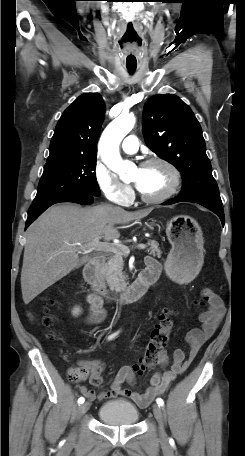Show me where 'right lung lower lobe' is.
I'll return each instance as SVG.
<instances>
[{
	"label": "right lung lower lobe",
	"mask_w": 245,
	"mask_h": 456,
	"mask_svg": "<svg viewBox=\"0 0 245 456\" xmlns=\"http://www.w3.org/2000/svg\"><path fill=\"white\" fill-rule=\"evenodd\" d=\"M94 201L93 195H68L62 196L50 200H46L40 203H33L28 212V219L26 222V228L38 218L48 207L53 204L60 202H74L78 204H92Z\"/></svg>",
	"instance_id": "obj_1"
}]
</instances>
